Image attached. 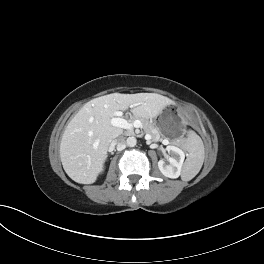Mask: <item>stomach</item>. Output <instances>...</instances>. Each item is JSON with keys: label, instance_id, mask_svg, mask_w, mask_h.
Instances as JSON below:
<instances>
[{"label": "stomach", "instance_id": "0dacf381", "mask_svg": "<svg viewBox=\"0 0 264 264\" xmlns=\"http://www.w3.org/2000/svg\"><path fill=\"white\" fill-rule=\"evenodd\" d=\"M155 126L163 136L177 138L181 135L184 125L182 118L172 108H167L155 120Z\"/></svg>", "mask_w": 264, "mask_h": 264}]
</instances>
